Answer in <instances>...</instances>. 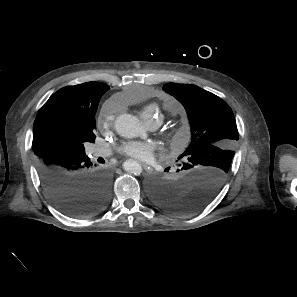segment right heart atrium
<instances>
[{
	"label": "right heart atrium",
	"mask_w": 297,
	"mask_h": 297,
	"mask_svg": "<svg viewBox=\"0 0 297 297\" xmlns=\"http://www.w3.org/2000/svg\"><path fill=\"white\" fill-rule=\"evenodd\" d=\"M116 105L114 101L109 100L104 103L100 112V125L104 129H108L113 124L116 116Z\"/></svg>",
	"instance_id": "1"
}]
</instances>
